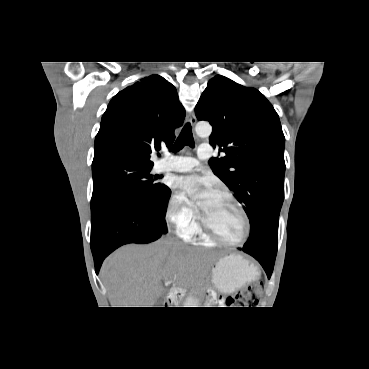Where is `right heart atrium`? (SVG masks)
Segmentation results:
<instances>
[{
    "instance_id": "right-heart-atrium-1",
    "label": "right heart atrium",
    "mask_w": 369,
    "mask_h": 369,
    "mask_svg": "<svg viewBox=\"0 0 369 369\" xmlns=\"http://www.w3.org/2000/svg\"><path fill=\"white\" fill-rule=\"evenodd\" d=\"M166 215L177 231L183 235L190 234L197 225L196 211L182 195L177 193L170 196Z\"/></svg>"
}]
</instances>
